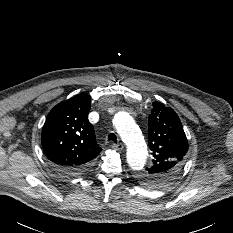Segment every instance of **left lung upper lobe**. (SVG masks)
<instances>
[{
    "label": "left lung upper lobe",
    "instance_id": "obj_1",
    "mask_svg": "<svg viewBox=\"0 0 233 233\" xmlns=\"http://www.w3.org/2000/svg\"><path fill=\"white\" fill-rule=\"evenodd\" d=\"M148 135L154 159L143 177L159 184L171 179L181 169L188 142L178 115L160 102L153 103Z\"/></svg>",
    "mask_w": 233,
    "mask_h": 233
}]
</instances>
